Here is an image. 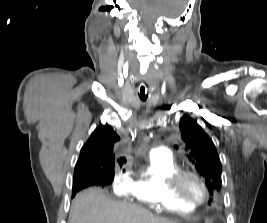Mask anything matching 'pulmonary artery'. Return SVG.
Masks as SVG:
<instances>
[{
    "label": "pulmonary artery",
    "mask_w": 267,
    "mask_h": 223,
    "mask_svg": "<svg viewBox=\"0 0 267 223\" xmlns=\"http://www.w3.org/2000/svg\"><path fill=\"white\" fill-rule=\"evenodd\" d=\"M151 154L162 156V157H167V156H170V151L166 147L160 146V147L154 148Z\"/></svg>",
    "instance_id": "pulmonary-artery-1"
}]
</instances>
